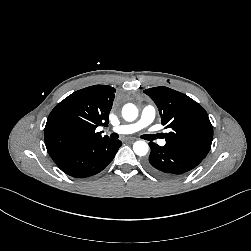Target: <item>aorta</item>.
Segmentation results:
<instances>
[{
    "label": "aorta",
    "instance_id": "762f6f07",
    "mask_svg": "<svg viewBox=\"0 0 251 251\" xmlns=\"http://www.w3.org/2000/svg\"><path fill=\"white\" fill-rule=\"evenodd\" d=\"M122 116L124 120L132 122L138 117V108L131 103H128L122 108ZM149 146L145 141H136L133 144V151L138 156H145L148 153Z\"/></svg>",
    "mask_w": 251,
    "mask_h": 251
}]
</instances>
